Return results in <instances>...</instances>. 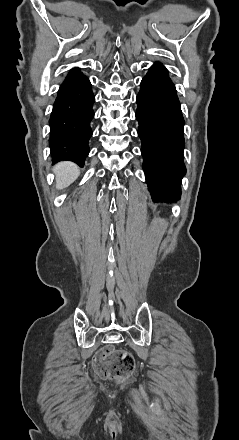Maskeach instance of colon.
<instances>
[{
    "label": "colon",
    "instance_id": "colon-1",
    "mask_svg": "<svg viewBox=\"0 0 239 440\" xmlns=\"http://www.w3.org/2000/svg\"><path fill=\"white\" fill-rule=\"evenodd\" d=\"M94 366L100 376L121 381L133 372L134 358L127 351L106 348L97 353Z\"/></svg>",
    "mask_w": 239,
    "mask_h": 440
}]
</instances>
